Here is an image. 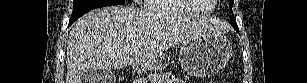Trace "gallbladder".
I'll return each instance as SVG.
<instances>
[{"mask_svg": "<svg viewBox=\"0 0 307 83\" xmlns=\"http://www.w3.org/2000/svg\"><path fill=\"white\" fill-rule=\"evenodd\" d=\"M114 75L102 69H90L82 75L81 83H113Z\"/></svg>", "mask_w": 307, "mask_h": 83, "instance_id": "1", "label": "gallbladder"}]
</instances>
